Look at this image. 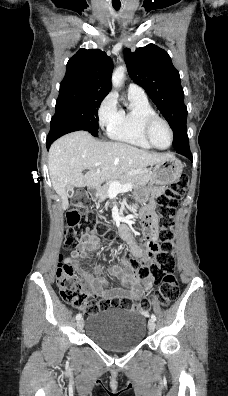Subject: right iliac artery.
Here are the masks:
<instances>
[{"instance_id": "82829eb1", "label": "right iliac artery", "mask_w": 228, "mask_h": 396, "mask_svg": "<svg viewBox=\"0 0 228 396\" xmlns=\"http://www.w3.org/2000/svg\"><path fill=\"white\" fill-rule=\"evenodd\" d=\"M81 317H82V315L79 313V314H77L76 315V320H79V319H81Z\"/></svg>"}]
</instances>
